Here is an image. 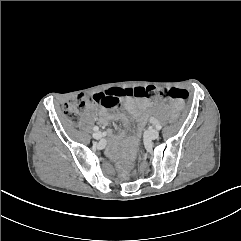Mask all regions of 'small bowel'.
<instances>
[{
  "label": "small bowel",
  "mask_w": 241,
  "mask_h": 241,
  "mask_svg": "<svg viewBox=\"0 0 241 241\" xmlns=\"http://www.w3.org/2000/svg\"><path fill=\"white\" fill-rule=\"evenodd\" d=\"M122 103V100L119 101L118 105L116 107H108L101 105L102 108L98 110V117L101 123H106L110 119H122L123 117L120 115H112L107 112V108H118ZM123 105L126 107V109L131 112L133 115L137 117H143L146 113V110L150 106V102L147 100H134L131 97H126L123 101ZM93 107L89 106L88 110L93 111Z\"/></svg>",
  "instance_id": "obj_1"
}]
</instances>
